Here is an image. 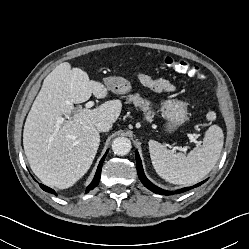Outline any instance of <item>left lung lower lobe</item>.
Segmentation results:
<instances>
[{
	"label": "left lung lower lobe",
	"mask_w": 249,
	"mask_h": 249,
	"mask_svg": "<svg viewBox=\"0 0 249 249\" xmlns=\"http://www.w3.org/2000/svg\"><path fill=\"white\" fill-rule=\"evenodd\" d=\"M135 156H136V163H137V173H138V176H139V179L141 180V182L144 184L145 187H147L149 190L157 193V194H162V195H169L170 192L169 191H165L157 186H155L154 184H152L147 178L146 176L144 175V171H143V167H142V163H141V159H140V156L138 154V152L136 151L135 153ZM205 182V181H203ZM203 182H200L192 187H188V188H183V189H180L178 191H176V193H180V192H184V191H187V190H190L194 187H198L200 186Z\"/></svg>",
	"instance_id": "0a47b994"
}]
</instances>
